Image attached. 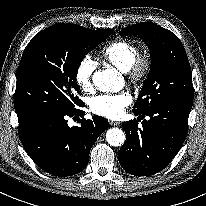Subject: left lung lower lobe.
I'll return each mask as SVG.
<instances>
[{
  "label": "left lung lower lobe",
  "instance_id": "obj_1",
  "mask_svg": "<svg viewBox=\"0 0 206 206\" xmlns=\"http://www.w3.org/2000/svg\"><path fill=\"white\" fill-rule=\"evenodd\" d=\"M192 106L157 104L145 113H135L142 120L122 123L126 141L118 159L122 168L136 176H149L163 170L175 157L186 138ZM138 120V121H140Z\"/></svg>",
  "mask_w": 206,
  "mask_h": 206
}]
</instances>
